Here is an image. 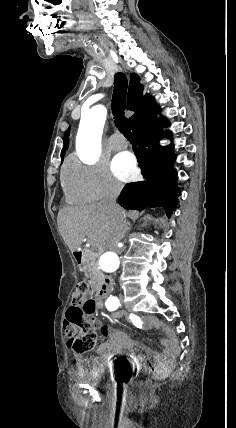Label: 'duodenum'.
<instances>
[{"label": "duodenum", "instance_id": "410a0bca", "mask_svg": "<svg viewBox=\"0 0 236 428\" xmlns=\"http://www.w3.org/2000/svg\"><path fill=\"white\" fill-rule=\"evenodd\" d=\"M73 258L79 267L83 266L84 251L82 249H75L73 251ZM113 286L114 282L112 278H104L94 292L95 299L100 301L108 298L112 293Z\"/></svg>", "mask_w": 236, "mask_h": 428}]
</instances>
